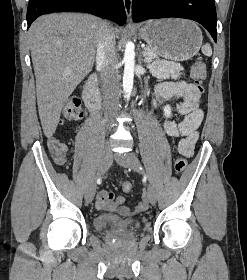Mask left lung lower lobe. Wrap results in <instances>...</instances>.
<instances>
[{
	"mask_svg": "<svg viewBox=\"0 0 247 280\" xmlns=\"http://www.w3.org/2000/svg\"><path fill=\"white\" fill-rule=\"evenodd\" d=\"M166 17L197 21L209 31L215 42L217 41L214 0H133L134 21Z\"/></svg>",
	"mask_w": 247,
	"mask_h": 280,
	"instance_id": "left-lung-lower-lobe-1",
	"label": "left lung lower lobe"
}]
</instances>
